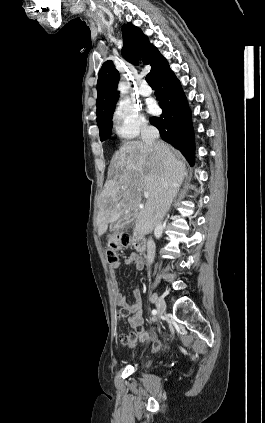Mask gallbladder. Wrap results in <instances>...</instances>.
<instances>
[{
  "label": "gallbladder",
  "mask_w": 265,
  "mask_h": 423,
  "mask_svg": "<svg viewBox=\"0 0 265 423\" xmlns=\"http://www.w3.org/2000/svg\"><path fill=\"white\" fill-rule=\"evenodd\" d=\"M135 219V216L133 214H131L128 218H119L115 223H114V228L115 229H121V228H125L127 227L133 220Z\"/></svg>",
  "instance_id": "gallbladder-1"
}]
</instances>
